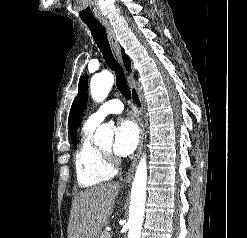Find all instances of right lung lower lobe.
<instances>
[{
    "label": "right lung lower lobe",
    "mask_w": 247,
    "mask_h": 238,
    "mask_svg": "<svg viewBox=\"0 0 247 238\" xmlns=\"http://www.w3.org/2000/svg\"><path fill=\"white\" fill-rule=\"evenodd\" d=\"M133 97H134L135 101L139 104V100H138V97H137L135 90H133Z\"/></svg>",
    "instance_id": "1"
}]
</instances>
